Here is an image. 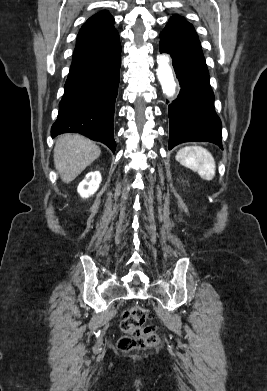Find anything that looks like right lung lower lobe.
<instances>
[{"label":"right lung lower lobe","instance_id":"obj_1","mask_svg":"<svg viewBox=\"0 0 267 391\" xmlns=\"http://www.w3.org/2000/svg\"><path fill=\"white\" fill-rule=\"evenodd\" d=\"M121 44L72 61L60 101L55 137L75 132L100 141L115 152L113 118L120 76Z\"/></svg>","mask_w":267,"mask_h":391}]
</instances>
